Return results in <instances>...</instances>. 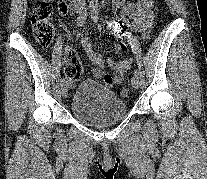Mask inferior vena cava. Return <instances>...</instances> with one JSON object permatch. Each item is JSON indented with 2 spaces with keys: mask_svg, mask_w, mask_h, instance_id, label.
<instances>
[{
  "mask_svg": "<svg viewBox=\"0 0 207 179\" xmlns=\"http://www.w3.org/2000/svg\"><path fill=\"white\" fill-rule=\"evenodd\" d=\"M73 2H85V0H73Z\"/></svg>",
  "mask_w": 207,
  "mask_h": 179,
  "instance_id": "602c4592",
  "label": "inferior vena cava"
}]
</instances>
